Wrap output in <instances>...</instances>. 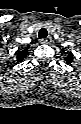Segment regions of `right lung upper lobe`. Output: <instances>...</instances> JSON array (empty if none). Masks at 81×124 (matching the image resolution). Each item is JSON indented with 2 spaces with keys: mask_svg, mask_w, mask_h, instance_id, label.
I'll return each mask as SVG.
<instances>
[{
  "mask_svg": "<svg viewBox=\"0 0 81 124\" xmlns=\"http://www.w3.org/2000/svg\"><path fill=\"white\" fill-rule=\"evenodd\" d=\"M27 53H28V50H23L21 52H18L17 61L21 62L27 56Z\"/></svg>",
  "mask_w": 81,
  "mask_h": 124,
  "instance_id": "right-lung-upper-lobe-1",
  "label": "right lung upper lobe"
}]
</instances>
